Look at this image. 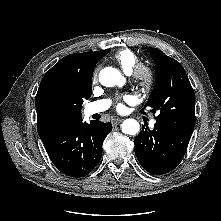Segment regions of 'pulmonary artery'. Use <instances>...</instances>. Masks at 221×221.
I'll list each match as a JSON object with an SVG mask.
<instances>
[{
  "mask_svg": "<svg viewBox=\"0 0 221 221\" xmlns=\"http://www.w3.org/2000/svg\"><path fill=\"white\" fill-rule=\"evenodd\" d=\"M110 104H111V102L108 99H102V100L92 102V103L87 105L86 113L88 115L101 113V112L107 110L109 108ZM155 122H156L155 119L151 120L150 126L153 127Z\"/></svg>",
  "mask_w": 221,
  "mask_h": 221,
  "instance_id": "obj_1",
  "label": "pulmonary artery"
}]
</instances>
